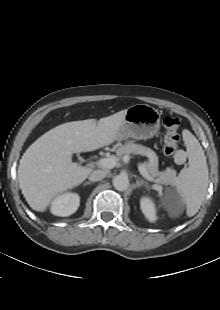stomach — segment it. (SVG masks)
I'll list each match as a JSON object with an SVG mask.
<instances>
[{"label": "stomach", "mask_w": 220, "mask_h": 310, "mask_svg": "<svg viewBox=\"0 0 220 310\" xmlns=\"http://www.w3.org/2000/svg\"><path fill=\"white\" fill-rule=\"evenodd\" d=\"M160 113L147 104H136L126 111L124 121L119 129L118 140L133 138L146 140L158 133Z\"/></svg>", "instance_id": "obj_1"}]
</instances>
